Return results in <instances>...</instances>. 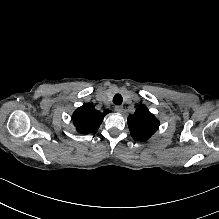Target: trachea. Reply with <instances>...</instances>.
Segmentation results:
<instances>
[{
    "label": "trachea",
    "instance_id": "3493384b",
    "mask_svg": "<svg viewBox=\"0 0 219 219\" xmlns=\"http://www.w3.org/2000/svg\"><path fill=\"white\" fill-rule=\"evenodd\" d=\"M123 102V98L120 94H116L114 97H113V103L115 105H121Z\"/></svg>",
    "mask_w": 219,
    "mask_h": 219
}]
</instances>
